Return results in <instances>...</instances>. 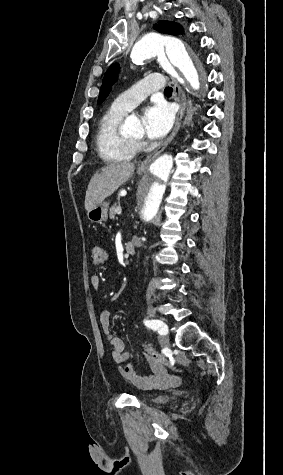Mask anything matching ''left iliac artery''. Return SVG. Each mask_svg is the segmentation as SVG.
I'll use <instances>...</instances> for the list:
<instances>
[{"mask_svg":"<svg viewBox=\"0 0 283 475\" xmlns=\"http://www.w3.org/2000/svg\"><path fill=\"white\" fill-rule=\"evenodd\" d=\"M144 323L153 330L159 329L160 334H167L165 324L160 320H144Z\"/></svg>","mask_w":283,"mask_h":475,"instance_id":"44dca946","label":"left iliac artery"}]
</instances>
